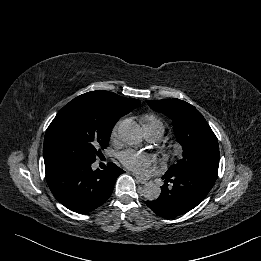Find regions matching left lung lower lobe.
Listing matches in <instances>:
<instances>
[{"label":"left lung lower lobe","mask_w":261,"mask_h":261,"mask_svg":"<svg viewBox=\"0 0 261 261\" xmlns=\"http://www.w3.org/2000/svg\"><path fill=\"white\" fill-rule=\"evenodd\" d=\"M216 177L200 170H185L162 177L164 186L160 196L154 201H146L147 206L158 216L174 218L196 207L213 187ZM173 185L168 188V183Z\"/></svg>","instance_id":"1"}]
</instances>
